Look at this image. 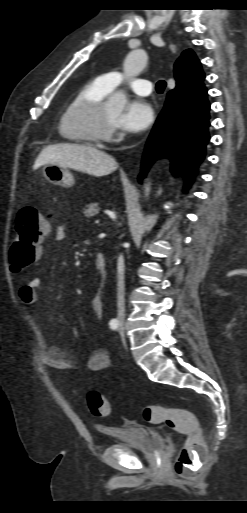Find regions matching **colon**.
I'll return each instance as SVG.
<instances>
[{
	"mask_svg": "<svg viewBox=\"0 0 247 513\" xmlns=\"http://www.w3.org/2000/svg\"><path fill=\"white\" fill-rule=\"evenodd\" d=\"M50 225L37 207L22 208L17 216L15 237L9 259L15 272L28 268L40 254V244L49 234ZM90 412L96 417L110 415L111 407L107 399L97 391H91L86 397ZM142 417L152 424H165L183 433V446L174 463L176 476L195 478L207 455L202 439L201 428L196 416L184 409L166 408L158 405H145L141 409Z\"/></svg>",
	"mask_w": 247,
	"mask_h": 513,
	"instance_id": "obj_1",
	"label": "colon"
}]
</instances>
